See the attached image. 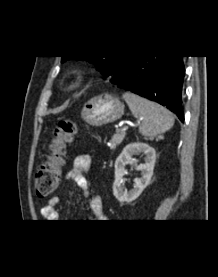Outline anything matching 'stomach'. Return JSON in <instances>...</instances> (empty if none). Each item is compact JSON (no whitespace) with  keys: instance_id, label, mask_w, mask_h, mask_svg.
<instances>
[{"instance_id":"obj_1","label":"stomach","mask_w":218,"mask_h":277,"mask_svg":"<svg viewBox=\"0 0 218 277\" xmlns=\"http://www.w3.org/2000/svg\"><path fill=\"white\" fill-rule=\"evenodd\" d=\"M124 114V104L115 96L102 94L84 104L82 119L91 126L115 122Z\"/></svg>"}]
</instances>
